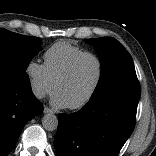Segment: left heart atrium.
Segmentation results:
<instances>
[{"label":"left heart atrium","mask_w":156,"mask_h":156,"mask_svg":"<svg viewBox=\"0 0 156 156\" xmlns=\"http://www.w3.org/2000/svg\"><path fill=\"white\" fill-rule=\"evenodd\" d=\"M51 103L56 108H66L68 107L67 103L64 101L62 96L55 91L54 94L51 97Z\"/></svg>","instance_id":"1"}]
</instances>
